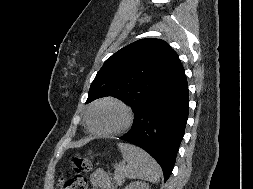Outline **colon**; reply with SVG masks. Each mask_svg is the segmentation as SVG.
I'll return each instance as SVG.
<instances>
[{
  "label": "colon",
  "mask_w": 253,
  "mask_h": 189,
  "mask_svg": "<svg viewBox=\"0 0 253 189\" xmlns=\"http://www.w3.org/2000/svg\"><path fill=\"white\" fill-rule=\"evenodd\" d=\"M89 169L90 162L88 159L74 156L67 172L60 177V189H86L87 182L84 173Z\"/></svg>",
  "instance_id": "colon-1"
}]
</instances>
